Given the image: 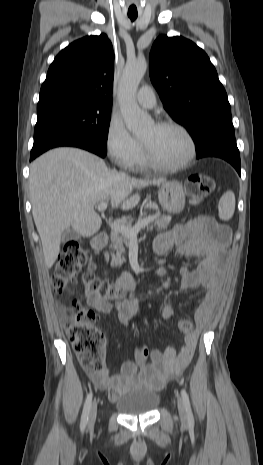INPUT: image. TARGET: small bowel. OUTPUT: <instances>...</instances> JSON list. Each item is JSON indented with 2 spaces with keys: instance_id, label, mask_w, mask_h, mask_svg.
<instances>
[{
  "instance_id": "1",
  "label": "small bowel",
  "mask_w": 263,
  "mask_h": 465,
  "mask_svg": "<svg viewBox=\"0 0 263 465\" xmlns=\"http://www.w3.org/2000/svg\"><path fill=\"white\" fill-rule=\"evenodd\" d=\"M228 242V231L218 226H204L194 220L176 224L156 238L153 248L156 257L161 258L175 251L180 256L201 258L198 266L182 280L184 290L204 288L201 302L194 315L196 329L185 334L184 344L179 351L174 347H167L164 351H149L145 345L138 344L136 362H122L116 373H110L106 368L100 372H90L95 386L107 390L110 400L115 401L124 393L139 387L159 392L168 380L180 375L189 365L197 346L199 332L209 321L220 294ZM118 286L126 291L125 298L112 303L108 299L89 297L88 304L101 313L114 310L123 325H128L134 320L147 324L149 317L139 310L131 297V291L135 286L134 276L125 272L119 278ZM173 313L174 308L170 303L162 305L157 311V315L162 319L170 318Z\"/></svg>"
}]
</instances>
